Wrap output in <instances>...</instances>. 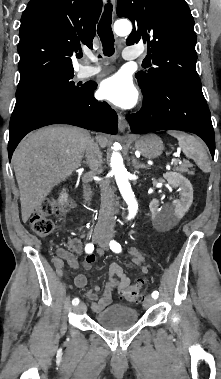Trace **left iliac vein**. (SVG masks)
<instances>
[{
  "label": "left iliac vein",
  "mask_w": 221,
  "mask_h": 379,
  "mask_svg": "<svg viewBox=\"0 0 221 379\" xmlns=\"http://www.w3.org/2000/svg\"><path fill=\"white\" fill-rule=\"evenodd\" d=\"M100 246L103 248V249H107L108 248V241H103L102 243H100ZM155 303V299L152 298L151 296H147L144 300V306L145 307H151L153 304Z\"/></svg>",
  "instance_id": "obj_1"
}]
</instances>
